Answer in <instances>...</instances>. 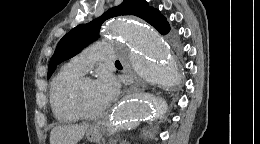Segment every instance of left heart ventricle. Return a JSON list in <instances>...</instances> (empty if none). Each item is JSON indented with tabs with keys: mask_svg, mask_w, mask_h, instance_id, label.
<instances>
[{
	"mask_svg": "<svg viewBox=\"0 0 260 144\" xmlns=\"http://www.w3.org/2000/svg\"><path fill=\"white\" fill-rule=\"evenodd\" d=\"M83 102L86 109L90 112H98L104 108L94 82H87L83 88Z\"/></svg>",
	"mask_w": 260,
	"mask_h": 144,
	"instance_id": "left-heart-ventricle-1",
	"label": "left heart ventricle"
}]
</instances>
